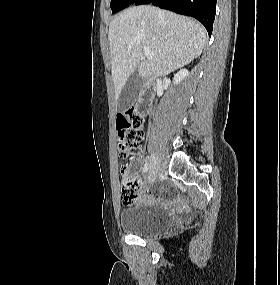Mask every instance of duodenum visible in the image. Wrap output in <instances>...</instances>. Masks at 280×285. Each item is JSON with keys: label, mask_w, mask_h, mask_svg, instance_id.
I'll return each mask as SVG.
<instances>
[{"label": "duodenum", "mask_w": 280, "mask_h": 285, "mask_svg": "<svg viewBox=\"0 0 280 285\" xmlns=\"http://www.w3.org/2000/svg\"><path fill=\"white\" fill-rule=\"evenodd\" d=\"M150 87H147L144 90L143 98L139 102L138 106L143 110L145 114H147L149 109V104L151 102L150 94H149Z\"/></svg>", "instance_id": "1"}]
</instances>
